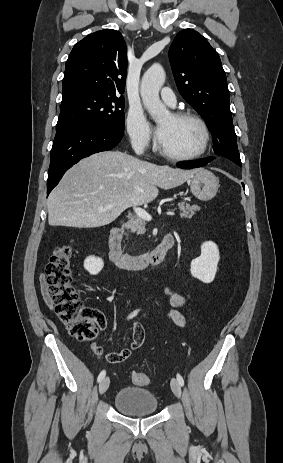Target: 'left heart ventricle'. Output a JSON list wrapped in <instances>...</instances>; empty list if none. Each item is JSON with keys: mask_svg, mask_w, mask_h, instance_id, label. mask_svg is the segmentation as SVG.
Here are the masks:
<instances>
[{"mask_svg": "<svg viewBox=\"0 0 283 463\" xmlns=\"http://www.w3.org/2000/svg\"><path fill=\"white\" fill-rule=\"evenodd\" d=\"M163 129L160 147L169 153L188 155L199 150L202 144V131L193 120H175L171 115L159 122Z\"/></svg>", "mask_w": 283, "mask_h": 463, "instance_id": "left-heart-ventricle-1", "label": "left heart ventricle"}]
</instances>
